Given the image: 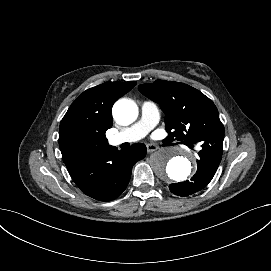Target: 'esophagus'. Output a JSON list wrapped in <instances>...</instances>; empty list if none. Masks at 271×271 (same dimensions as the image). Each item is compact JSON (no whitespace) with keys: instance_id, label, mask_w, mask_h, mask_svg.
Instances as JSON below:
<instances>
[{"instance_id":"1","label":"esophagus","mask_w":271,"mask_h":271,"mask_svg":"<svg viewBox=\"0 0 271 271\" xmlns=\"http://www.w3.org/2000/svg\"><path fill=\"white\" fill-rule=\"evenodd\" d=\"M146 147H147V152L149 153L158 150V147L155 144H147Z\"/></svg>"}]
</instances>
